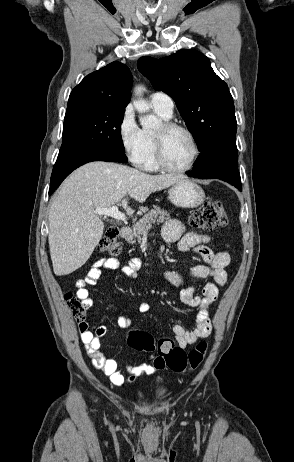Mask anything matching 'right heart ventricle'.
Instances as JSON below:
<instances>
[{"label": "right heart ventricle", "instance_id": "1", "mask_svg": "<svg viewBox=\"0 0 294 462\" xmlns=\"http://www.w3.org/2000/svg\"><path fill=\"white\" fill-rule=\"evenodd\" d=\"M154 110L156 114L163 120H169L171 117V115H167L161 110H158L155 108ZM142 132H143L145 150H144L142 161L139 166L145 171H149V172L157 171L159 167L156 163V158H155L154 132L151 130H147V129L142 130Z\"/></svg>", "mask_w": 294, "mask_h": 462}]
</instances>
